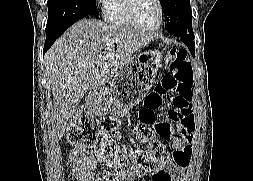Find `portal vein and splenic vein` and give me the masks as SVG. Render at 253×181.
Instances as JSON below:
<instances>
[{
    "mask_svg": "<svg viewBox=\"0 0 253 181\" xmlns=\"http://www.w3.org/2000/svg\"><path fill=\"white\" fill-rule=\"evenodd\" d=\"M114 57V54L113 53H107L105 58H113Z\"/></svg>",
    "mask_w": 253,
    "mask_h": 181,
    "instance_id": "portal-vein-and-splenic-vein-1",
    "label": "portal vein and splenic vein"
}]
</instances>
